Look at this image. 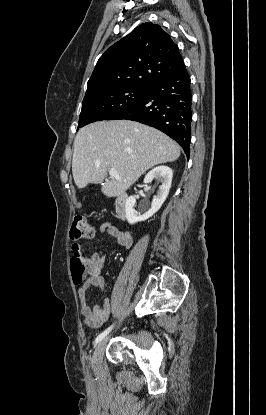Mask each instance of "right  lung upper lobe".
<instances>
[{"label":"right lung upper lobe","instance_id":"1","mask_svg":"<svg viewBox=\"0 0 266 415\" xmlns=\"http://www.w3.org/2000/svg\"><path fill=\"white\" fill-rule=\"evenodd\" d=\"M183 68L179 48L168 33L157 24L143 23L99 58L85 97L117 87L149 88Z\"/></svg>","mask_w":266,"mask_h":415}]
</instances>
